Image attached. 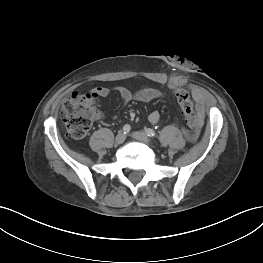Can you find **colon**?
Masks as SVG:
<instances>
[{"instance_id": "1", "label": "colon", "mask_w": 263, "mask_h": 263, "mask_svg": "<svg viewBox=\"0 0 263 263\" xmlns=\"http://www.w3.org/2000/svg\"><path fill=\"white\" fill-rule=\"evenodd\" d=\"M174 94L187 126L192 131H196L199 126L198 115L188 91L176 87L174 88ZM96 97L97 95L94 92L74 93L63 104L61 117L69 137L80 139L87 134L96 115Z\"/></svg>"}]
</instances>
